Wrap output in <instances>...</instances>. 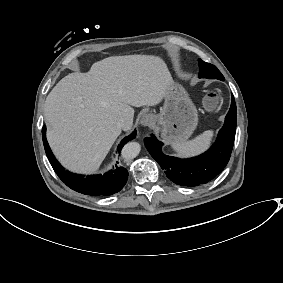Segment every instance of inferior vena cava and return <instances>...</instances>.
<instances>
[{
	"mask_svg": "<svg viewBox=\"0 0 283 283\" xmlns=\"http://www.w3.org/2000/svg\"><path fill=\"white\" fill-rule=\"evenodd\" d=\"M117 126L123 130H128L130 128V125L124 119L118 120Z\"/></svg>",
	"mask_w": 283,
	"mask_h": 283,
	"instance_id": "602c4592",
	"label": "inferior vena cava"
}]
</instances>
